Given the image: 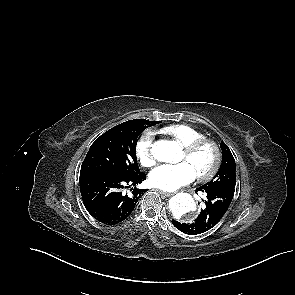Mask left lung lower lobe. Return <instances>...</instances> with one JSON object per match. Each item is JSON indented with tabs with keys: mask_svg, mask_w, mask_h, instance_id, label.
Wrapping results in <instances>:
<instances>
[{
	"mask_svg": "<svg viewBox=\"0 0 295 295\" xmlns=\"http://www.w3.org/2000/svg\"><path fill=\"white\" fill-rule=\"evenodd\" d=\"M202 191L206 195L205 208L192 223H180L172 220V224L185 234L197 235L204 233L216 226L227 212L234 196V189L218 187L196 188V192Z\"/></svg>",
	"mask_w": 295,
	"mask_h": 295,
	"instance_id": "1",
	"label": "left lung lower lobe"
}]
</instances>
